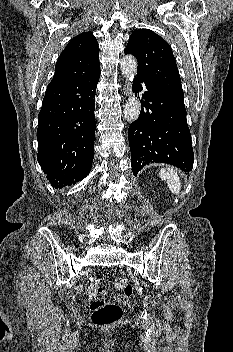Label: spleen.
<instances>
[{
    "label": "spleen",
    "instance_id": "3e777b00",
    "mask_svg": "<svg viewBox=\"0 0 233 352\" xmlns=\"http://www.w3.org/2000/svg\"><path fill=\"white\" fill-rule=\"evenodd\" d=\"M159 177L167 182L169 190L174 194H179L181 190L180 178L174 168L161 169Z\"/></svg>",
    "mask_w": 233,
    "mask_h": 352
}]
</instances>
